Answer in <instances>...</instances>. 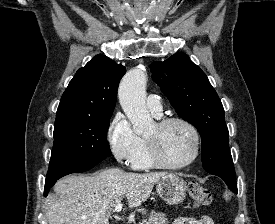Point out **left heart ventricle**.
Wrapping results in <instances>:
<instances>
[{"label":"left heart ventricle","mask_w":275,"mask_h":224,"mask_svg":"<svg viewBox=\"0 0 275 224\" xmlns=\"http://www.w3.org/2000/svg\"><path fill=\"white\" fill-rule=\"evenodd\" d=\"M145 136L158 145L162 156L169 163L180 164L193 155V135L181 123H171L162 129L154 124Z\"/></svg>","instance_id":"1"}]
</instances>
